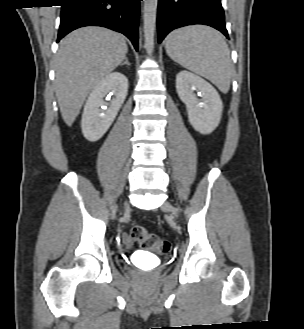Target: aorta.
Returning a JSON list of instances; mask_svg holds the SVG:
<instances>
[{"instance_id":"762f6f07","label":"aorta","mask_w":304,"mask_h":329,"mask_svg":"<svg viewBox=\"0 0 304 329\" xmlns=\"http://www.w3.org/2000/svg\"><path fill=\"white\" fill-rule=\"evenodd\" d=\"M157 6L158 0H144L143 31L145 48L148 52H152L154 48V32Z\"/></svg>"}]
</instances>
